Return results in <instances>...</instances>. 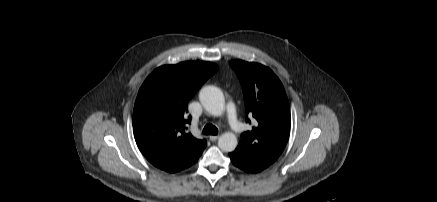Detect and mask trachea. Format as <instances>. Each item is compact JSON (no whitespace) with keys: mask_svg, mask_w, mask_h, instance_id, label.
<instances>
[{"mask_svg":"<svg viewBox=\"0 0 437 202\" xmlns=\"http://www.w3.org/2000/svg\"><path fill=\"white\" fill-rule=\"evenodd\" d=\"M202 133L205 134V135H217L218 134V129L214 125H212V124H207L203 128Z\"/></svg>","mask_w":437,"mask_h":202,"instance_id":"obj_1","label":"trachea"}]
</instances>
